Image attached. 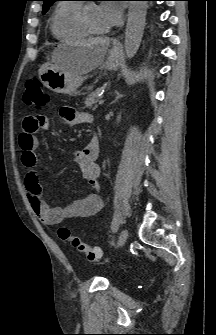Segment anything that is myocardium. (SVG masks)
<instances>
[{
  "label": "myocardium",
  "instance_id": "obj_1",
  "mask_svg": "<svg viewBox=\"0 0 216 335\" xmlns=\"http://www.w3.org/2000/svg\"><path fill=\"white\" fill-rule=\"evenodd\" d=\"M91 4H84L80 7L78 12V21L80 26L87 32L89 35H103L104 31H96L92 29L87 19V9Z\"/></svg>",
  "mask_w": 216,
  "mask_h": 335
}]
</instances>
